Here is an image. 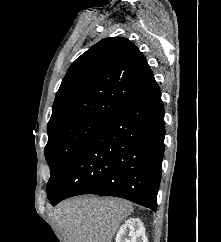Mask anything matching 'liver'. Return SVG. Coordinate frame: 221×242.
<instances>
[{
    "label": "liver",
    "mask_w": 221,
    "mask_h": 242,
    "mask_svg": "<svg viewBox=\"0 0 221 242\" xmlns=\"http://www.w3.org/2000/svg\"><path fill=\"white\" fill-rule=\"evenodd\" d=\"M132 211L126 200L78 197L60 203L52 216L64 242H111Z\"/></svg>",
    "instance_id": "liver-1"
}]
</instances>
